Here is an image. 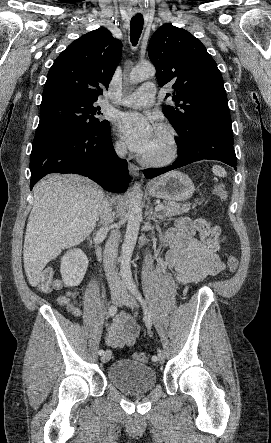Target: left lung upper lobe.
Returning a JSON list of instances; mask_svg holds the SVG:
<instances>
[{
	"label": "left lung upper lobe",
	"mask_w": 271,
	"mask_h": 443,
	"mask_svg": "<svg viewBox=\"0 0 271 443\" xmlns=\"http://www.w3.org/2000/svg\"><path fill=\"white\" fill-rule=\"evenodd\" d=\"M148 55L160 87L173 83L175 106H164L163 113L178 134L207 117L231 122L221 72L199 39L164 24L151 37Z\"/></svg>",
	"instance_id": "obj_1"
}]
</instances>
